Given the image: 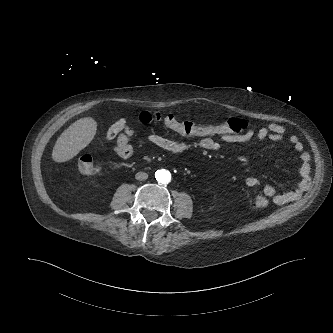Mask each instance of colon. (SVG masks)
Returning <instances> with one entry per match:
<instances>
[{
	"label": "colon",
	"instance_id": "colon-1",
	"mask_svg": "<svg viewBox=\"0 0 333 333\" xmlns=\"http://www.w3.org/2000/svg\"><path fill=\"white\" fill-rule=\"evenodd\" d=\"M151 120L162 122L168 128L186 137L199 138H224L230 134H239L247 131L249 124L239 118H228L219 124H200L192 120H178L173 114H151ZM130 131V129H129ZM77 170L84 175H92L100 172L101 164L90 155H83L77 161ZM254 206L265 209L269 205V199L264 195H256L252 198Z\"/></svg>",
	"mask_w": 333,
	"mask_h": 333
}]
</instances>
